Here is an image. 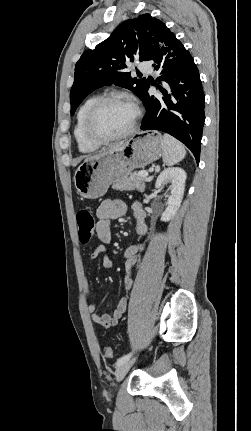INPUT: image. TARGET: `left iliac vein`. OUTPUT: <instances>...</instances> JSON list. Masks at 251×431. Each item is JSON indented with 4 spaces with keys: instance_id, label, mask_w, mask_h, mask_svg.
<instances>
[{
    "instance_id": "4c4485c4",
    "label": "left iliac vein",
    "mask_w": 251,
    "mask_h": 431,
    "mask_svg": "<svg viewBox=\"0 0 251 431\" xmlns=\"http://www.w3.org/2000/svg\"><path fill=\"white\" fill-rule=\"evenodd\" d=\"M133 363L134 360H130L118 365L115 371V378L117 382H120L125 377Z\"/></svg>"
}]
</instances>
